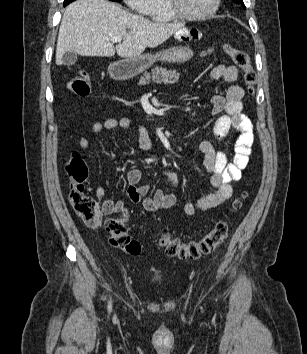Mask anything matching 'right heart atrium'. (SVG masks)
Returning a JSON list of instances; mask_svg holds the SVG:
<instances>
[{"mask_svg":"<svg viewBox=\"0 0 307 354\" xmlns=\"http://www.w3.org/2000/svg\"><path fill=\"white\" fill-rule=\"evenodd\" d=\"M123 1L130 9L146 15L149 12L153 3V0H123Z\"/></svg>","mask_w":307,"mask_h":354,"instance_id":"d8ad5b80","label":"right heart atrium"}]
</instances>
